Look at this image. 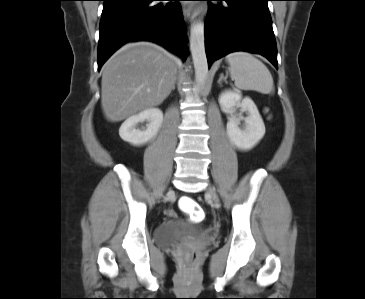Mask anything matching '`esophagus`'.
<instances>
[{
	"label": "esophagus",
	"mask_w": 365,
	"mask_h": 299,
	"mask_svg": "<svg viewBox=\"0 0 365 299\" xmlns=\"http://www.w3.org/2000/svg\"><path fill=\"white\" fill-rule=\"evenodd\" d=\"M193 14V8L191 6H184L183 7V15L186 20L190 21Z\"/></svg>",
	"instance_id": "esophagus-1"
}]
</instances>
